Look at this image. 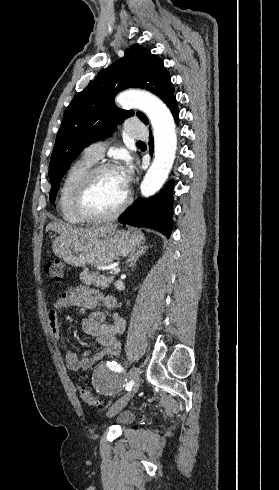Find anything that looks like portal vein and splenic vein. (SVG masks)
I'll list each match as a JSON object with an SVG mask.
<instances>
[{"label": "portal vein and splenic vein", "mask_w": 279, "mask_h": 490, "mask_svg": "<svg viewBox=\"0 0 279 490\" xmlns=\"http://www.w3.org/2000/svg\"><path fill=\"white\" fill-rule=\"evenodd\" d=\"M110 270V274H119L120 268H108Z\"/></svg>", "instance_id": "portal-vein-and-splenic-vein-1"}]
</instances>
